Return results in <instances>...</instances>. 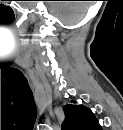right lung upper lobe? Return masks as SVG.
<instances>
[{"label": "right lung upper lobe", "instance_id": "1", "mask_svg": "<svg viewBox=\"0 0 123 130\" xmlns=\"http://www.w3.org/2000/svg\"><path fill=\"white\" fill-rule=\"evenodd\" d=\"M68 104L63 107L65 121L62 124V130H100L97 119L93 112L83 105Z\"/></svg>", "mask_w": 123, "mask_h": 130}]
</instances>
